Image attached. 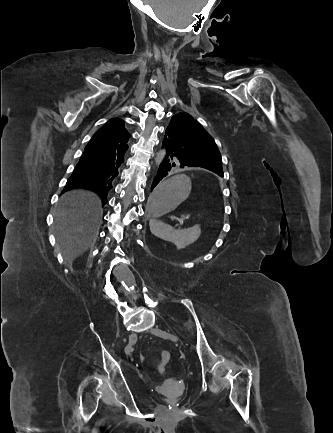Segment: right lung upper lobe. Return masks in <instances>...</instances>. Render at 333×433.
<instances>
[{
	"label": "right lung upper lobe",
	"mask_w": 333,
	"mask_h": 433,
	"mask_svg": "<svg viewBox=\"0 0 333 433\" xmlns=\"http://www.w3.org/2000/svg\"><path fill=\"white\" fill-rule=\"evenodd\" d=\"M123 120L112 118L106 122L93 136L100 148H118L127 145L131 134L125 129Z\"/></svg>",
	"instance_id": "right-lung-upper-lobe-1"
}]
</instances>
